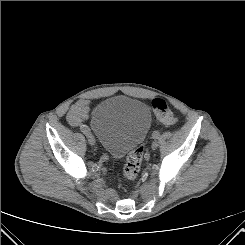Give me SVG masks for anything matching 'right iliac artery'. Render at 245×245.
Segmentation results:
<instances>
[{"label":"right iliac artery","instance_id":"82829eb1","mask_svg":"<svg viewBox=\"0 0 245 245\" xmlns=\"http://www.w3.org/2000/svg\"><path fill=\"white\" fill-rule=\"evenodd\" d=\"M80 129L85 135L90 133L89 129L86 126H82Z\"/></svg>","mask_w":245,"mask_h":245}]
</instances>
